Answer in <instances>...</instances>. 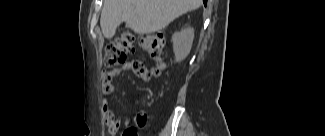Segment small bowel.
<instances>
[{
  "label": "small bowel",
  "mask_w": 325,
  "mask_h": 136,
  "mask_svg": "<svg viewBox=\"0 0 325 136\" xmlns=\"http://www.w3.org/2000/svg\"><path fill=\"white\" fill-rule=\"evenodd\" d=\"M147 63L146 57H135L134 62L125 63L121 68L115 70H104L102 72V88L105 93H110L113 90L112 79L121 70H132L134 74L142 80L148 79V71L144 64ZM103 112L105 121L110 134L115 135L118 133L121 122L116 117L113 110L110 108L106 100L103 101ZM147 121V113L144 110L139 111L133 118V123L129 124L126 130H137V127L144 126ZM125 130V131H126Z\"/></svg>",
  "instance_id": "c3829d8e"
}]
</instances>
